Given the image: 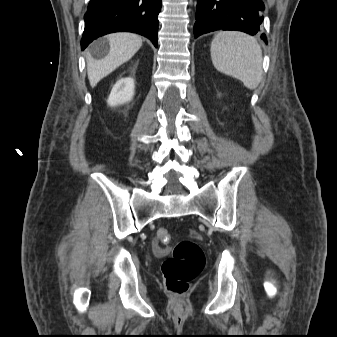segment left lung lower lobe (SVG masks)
Masks as SVG:
<instances>
[{
    "instance_id": "1",
    "label": "left lung lower lobe",
    "mask_w": 337,
    "mask_h": 337,
    "mask_svg": "<svg viewBox=\"0 0 337 337\" xmlns=\"http://www.w3.org/2000/svg\"><path fill=\"white\" fill-rule=\"evenodd\" d=\"M262 0H198L195 38L215 30H238L255 35L262 26ZM261 39L267 43L266 35Z\"/></svg>"
}]
</instances>
